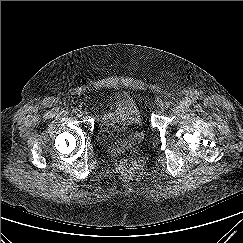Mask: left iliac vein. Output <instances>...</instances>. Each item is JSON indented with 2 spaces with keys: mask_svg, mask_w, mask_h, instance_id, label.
<instances>
[{
  "mask_svg": "<svg viewBox=\"0 0 243 243\" xmlns=\"http://www.w3.org/2000/svg\"><path fill=\"white\" fill-rule=\"evenodd\" d=\"M160 109H161L162 111H164V110L166 109V105L161 104V105H160Z\"/></svg>",
  "mask_w": 243,
  "mask_h": 243,
  "instance_id": "4c4485c4",
  "label": "left iliac vein"
}]
</instances>
